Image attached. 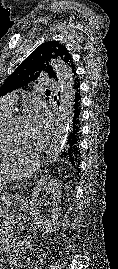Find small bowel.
Wrapping results in <instances>:
<instances>
[{
  "instance_id": "1",
  "label": "small bowel",
  "mask_w": 118,
  "mask_h": 269,
  "mask_svg": "<svg viewBox=\"0 0 118 269\" xmlns=\"http://www.w3.org/2000/svg\"><path fill=\"white\" fill-rule=\"evenodd\" d=\"M0 252L7 253V259L14 262L18 253L31 248V242L26 239L14 238V216L10 210V204H2L0 207ZM0 269H2L0 267Z\"/></svg>"
}]
</instances>
